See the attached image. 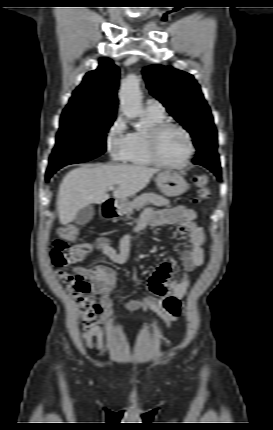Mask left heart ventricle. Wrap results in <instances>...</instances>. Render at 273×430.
I'll return each instance as SVG.
<instances>
[{
  "mask_svg": "<svg viewBox=\"0 0 273 430\" xmlns=\"http://www.w3.org/2000/svg\"><path fill=\"white\" fill-rule=\"evenodd\" d=\"M188 144L185 135L177 129H167L159 140V155L168 163H179L186 156Z\"/></svg>",
  "mask_w": 273,
  "mask_h": 430,
  "instance_id": "b2bd125f",
  "label": "left heart ventricle"
}]
</instances>
